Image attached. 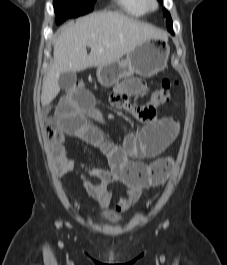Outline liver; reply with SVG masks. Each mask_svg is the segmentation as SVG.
Returning a JSON list of instances; mask_svg holds the SVG:
<instances>
[{"label": "liver", "mask_w": 227, "mask_h": 265, "mask_svg": "<svg viewBox=\"0 0 227 265\" xmlns=\"http://www.w3.org/2000/svg\"><path fill=\"white\" fill-rule=\"evenodd\" d=\"M149 39L165 40L167 34L115 11L93 13L63 25L54 44L53 63L43 80L41 104L48 105L58 95L62 73L119 61ZM87 46L91 48L90 54Z\"/></svg>", "instance_id": "1"}]
</instances>
